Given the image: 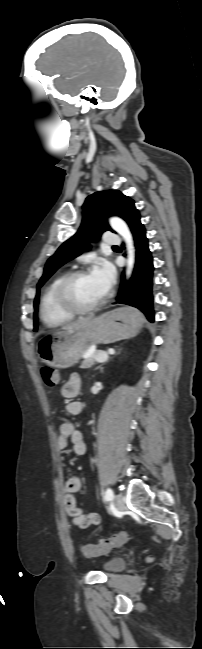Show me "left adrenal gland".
<instances>
[{
    "mask_svg": "<svg viewBox=\"0 0 202 649\" xmlns=\"http://www.w3.org/2000/svg\"><path fill=\"white\" fill-rule=\"evenodd\" d=\"M97 369H100V370H102L103 368H102V366H98V367H97Z\"/></svg>",
    "mask_w": 202,
    "mask_h": 649,
    "instance_id": "left-adrenal-gland-1",
    "label": "left adrenal gland"
}]
</instances>
